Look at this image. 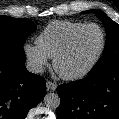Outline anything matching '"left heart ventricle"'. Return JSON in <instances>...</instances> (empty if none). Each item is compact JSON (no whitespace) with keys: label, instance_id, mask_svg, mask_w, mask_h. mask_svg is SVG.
Here are the masks:
<instances>
[{"label":"left heart ventricle","instance_id":"left-heart-ventricle-1","mask_svg":"<svg viewBox=\"0 0 119 119\" xmlns=\"http://www.w3.org/2000/svg\"><path fill=\"white\" fill-rule=\"evenodd\" d=\"M100 45V31L96 28L86 29L75 39L69 52L59 61L58 70L70 74L83 69L95 57Z\"/></svg>","mask_w":119,"mask_h":119}]
</instances>
